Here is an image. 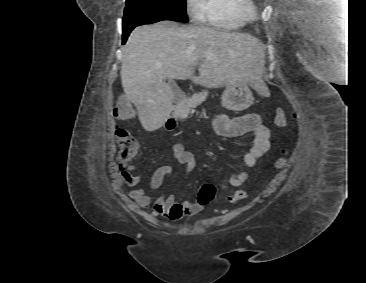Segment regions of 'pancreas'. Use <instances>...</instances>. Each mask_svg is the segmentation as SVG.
Returning a JSON list of instances; mask_svg holds the SVG:
<instances>
[{"instance_id":"obj_1","label":"pancreas","mask_w":366,"mask_h":283,"mask_svg":"<svg viewBox=\"0 0 366 283\" xmlns=\"http://www.w3.org/2000/svg\"><path fill=\"white\" fill-rule=\"evenodd\" d=\"M208 92L204 90L203 92L199 94H195L192 97L185 99L182 103H180L176 108V116L185 119L188 117V114L196 104H198L200 101H203Z\"/></svg>"}]
</instances>
